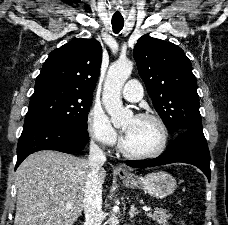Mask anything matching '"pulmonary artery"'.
Listing matches in <instances>:
<instances>
[{
  "mask_svg": "<svg viewBox=\"0 0 228 225\" xmlns=\"http://www.w3.org/2000/svg\"><path fill=\"white\" fill-rule=\"evenodd\" d=\"M127 85H124L123 97L130 102H137L141 99L142 85H139V81H127Z\"/></svg>",
  "mask_w": 228,
  "mask_h": 225,
  "instance_id": "pulmonary-artery-1",
  "label": "pulmonary artery"
}]
</instances>
